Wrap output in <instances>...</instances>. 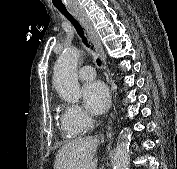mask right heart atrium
Here are the masks:
<instances>
[{
  "mask_svg": "<svg viewBox=\"0 0 177 169\" xmlns=\"http://www.w3.org/2000/svg\"><path fill=\"white\" fill-rule=\"evenodd\" d=\"M62 120L68 129L87 130L93 124L91 116L76 104L64 106Z\"/></svg>",
  "mask_w": 177,
  "mask_h": 169,
  "instance_id": "1",
  "label": "right heart atrium"
}]
</instances>
